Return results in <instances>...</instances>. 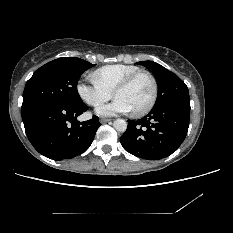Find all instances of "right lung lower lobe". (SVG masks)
Here are the masks:
<instances>
[{
	"label": "right lung lower lobe",
	"mask_w": 233,
	"mask_h": 233,
	"mask_svg": "<svg viewBox=\"0 0 233 233\" xmlns=\"http://www.w3.org/2000/svg\"><path fill=\"white\" fill-rule=\"evenodd\" d=\"M87 109L84 103L67 106L45 102L21 110L29 141L40 154L53 160L80 155L89 148L101 125L97 116L77 120Z\"/></svg>",
	"instance_id": "98d812e1"
}]
</instances>
